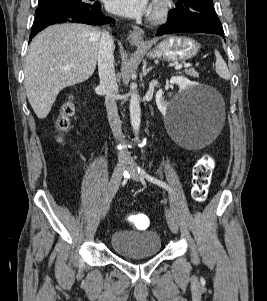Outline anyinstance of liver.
<instances>
[{"mask_svg":"<svg viewBox=\"0 0 267 301\" xmlns=\"http://www.w3.org/2000/svg\"><path fill=\"white\" fill-rule=\"evenodd\" d=\"M97 27L65 23L52 25L31 42L25 61L27 98L39 119L49 114L59 92L88 80L99 54Z\"/></svg>","mask_w":267,"mask_h":301,"instance_id":"6515ba94","label":"liver"}]
</instances>
